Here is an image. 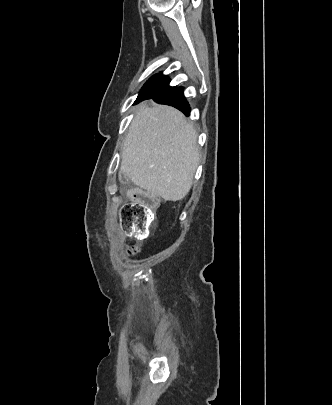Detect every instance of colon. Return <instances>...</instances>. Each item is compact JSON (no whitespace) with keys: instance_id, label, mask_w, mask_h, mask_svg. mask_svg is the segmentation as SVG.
Segmentation results:
<instances>
[{"instance_id":"5ec220e1","label":"colon","mask_w":332,"mask_h":405,"mask_svg":"<svg viewBox=\"0 0 332 405\" xmlns=\"http://www.w3.org/2000/svg\"><path fill=\"white\" fill-rule=\"evenodd\" d=\"M158 199L147 191H139L135 199L124 203L120 208V223L123 229L134 235H145L150 232L156 221L155 207ZM137 252V248L129 251Z\"/></svg>"}]
</instances>
